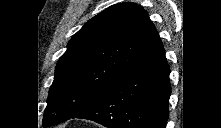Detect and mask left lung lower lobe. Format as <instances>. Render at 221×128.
<instances>
[{"label":"left lung lower lobe","instance_id":"obj_1","mask_svg":"<svg viewBox=\"0 0 221 128\" xmlns=\"http://www.w3.org/2000/svg\"><path fill=\"white\" fill-rule=\"evenodd\" d=\"M169 67L161 40L100 99L72 118L108 128H165L169 117Z\"/></svg>","mask_w":221,"mask_h":128}]
</instances>
